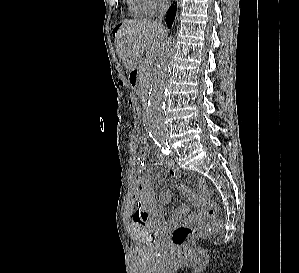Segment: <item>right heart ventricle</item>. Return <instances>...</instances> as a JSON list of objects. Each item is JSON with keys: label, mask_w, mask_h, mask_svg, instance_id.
I'll return each mask as SVG.
<instances>
[{"label": "right heart ventricle", "mask_w": 299, "mask_h": 273, "mask_svg": "<svg viewBox=\"0 0 299 273\" xmlns=\"http://www.w3.org/2000/svg\"><path fill=\"white\" fill-rule=\"evenodd\" d=\"M129 12L137 17H147L151 13L145 8L141 0H127Z\"/></svg>", "instance_id": "1"}]
</instances>
